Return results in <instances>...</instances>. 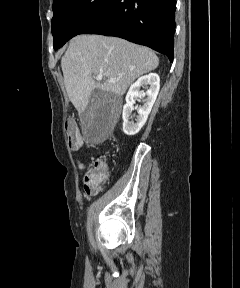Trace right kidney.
<instances>
[{"instance_id":"ca27d5eb","label":"right kidney","mask_w":240,"mask_h":288,"mask_svg":"<svg viewBox=\"0 0 240 288\" xmlns=\"http://www.w3.org/2000/svg\"><path fill=\"white\" fill-rule=\"evenodd\" d=\"M149 85L146 92L140 91L141 87ZM160 88V78L156 73H149L140 77L133 83L126 95V104L123 107V132L132 136L137 134L145 124L152 106L156 100ZM136 97H145L144 103L138 108L136 122L130 121L131 113L134 110L133 104Z\"/></svg>"}]
</instances>
